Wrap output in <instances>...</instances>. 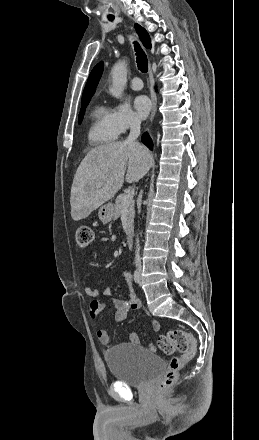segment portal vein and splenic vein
<instances>
[{
    "mask_svg": "<svg viewBox=\"0 0 259 440\" xmlns=\"http://www.w3.org/2000/svg\"><path fill=\"white\" fill-rule=\"evenodd\" d=\"M133 197H134V191L133 190L128 191L127 194L123 197V204L124 205L129 204L133 200Z\"/></svg>",
    "mask_w": 259,
    "mask_h": 440,
    "instance_id": "portal-vein-and-splenic-vein-1",
    "label": "portal vein and splenic vein"
}]
</instances>
